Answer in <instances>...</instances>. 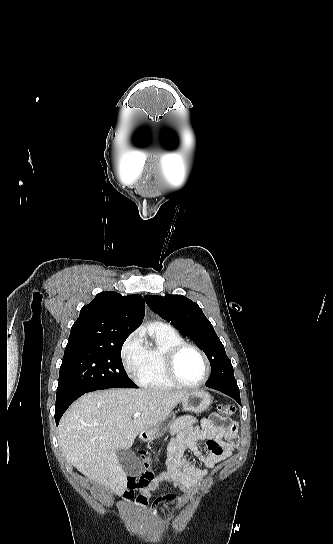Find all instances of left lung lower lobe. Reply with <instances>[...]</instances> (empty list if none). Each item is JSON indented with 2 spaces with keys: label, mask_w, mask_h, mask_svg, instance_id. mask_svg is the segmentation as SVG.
Segmentation results:
<instances>
[{
  "label": "left lung lower lobe",
  "mask_w": 333,
  "mask_h": 544,
  "mask_svg": "<svg viewBox=\"0 0 333 544\" xmlns=\"http://www.w3.org/2000/svg\"><path fill=\"white\" fill-rule=\"evenodd\" d=\"M215 390H218L230 397H232L233 399H235L239 404H241V400H240V393H239V390H236V389H223V388H213Z\"/></svg>",
  "instance_id": "0a47b994"
}]
</instances>
